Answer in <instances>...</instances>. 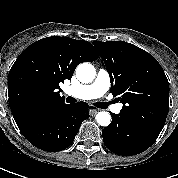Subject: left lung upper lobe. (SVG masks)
Segmentation results:
<instances>
[{
    "mask_svg": "<svg viewBox=\"0 0 178 178\" xmlns=\"http://www.w3.org/2000/svg\"><path fill=\"white\" fill-rule=\"evenodd\" d=\"M111 80V92L123 104L120 114L158 131L169 111V82L158 61L124 41L93 42Z\"/></svg>",
    "mask_w": 178,
    "mask_h": 178,
    "instance_id": "obj_1",
    "label": "left lung upper lobe"
}]
</instances>
